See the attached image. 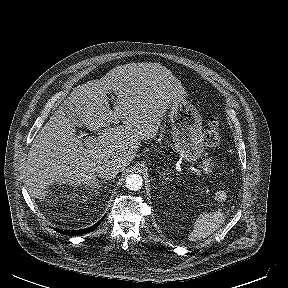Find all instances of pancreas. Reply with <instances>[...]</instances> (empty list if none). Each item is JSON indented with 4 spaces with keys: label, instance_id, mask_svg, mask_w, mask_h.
Wrapping results in <instances>:
<instances>
[{
    "label": "pancreas",
    "instance_id": "pancreas-1",
    "mask_svg": "<svg viewBox=\"0 0 288 288\" xmlns=\"http://www.w3.org/2000/svg\"><path fill=\"white\" fill-rule=\"evenodd\" d=\"M201 167L203 169H207V171H210L211 169L214 168V164L211 162V159L208 158V159H205L201 162Z\"/></svg>",
    "mask_w": 288,
    "mask_h": 288
}]
</instances>
